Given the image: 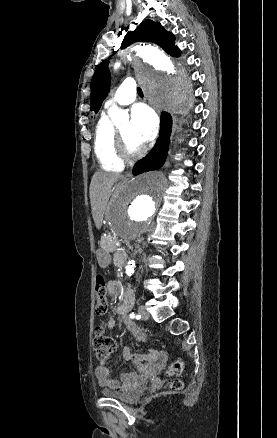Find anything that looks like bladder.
<instances>
[{
    "mask_svg": "<svg viewBox=\"0 0 277 438\" xmlns=\"http://www.w3.org/2000/svg\"><path fill=\"white\" fill-rule=\"evenodd\" d=\"M100 394L118 400L123 404L130 405L140 399L143 394V388L137 384L131 385L123 390L102 388L100 389Z\"/></svg>",
    "mask_w": 277,
    "mask_h": 438,
    "instance_id": "1",
    "label": "bladder"
}]
</instances>
